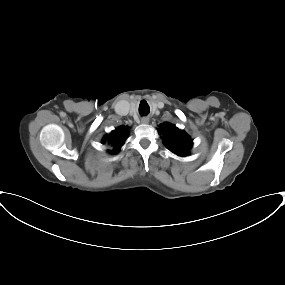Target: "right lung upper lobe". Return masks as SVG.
<instances>
[{"label":"right lung upper lobe","instance_id":"right-lung-upper-lobe-1","mask_svg":"<svg viewBox=\"0 0 285 285\" xmlns=\"http://www.w3.org/2000/svg\"><path fill=\"white\" fill-rule=\"evenodd\" d=\"M128 130L129 127L121 126L103 138V143L108 141L110 144H112L113 149L109 150L111 154H115L120 150L121 146L124 144V141L127 138L126 135Z\"/></svg>","mask_w":285,"mask_h":285}]
</instances>
